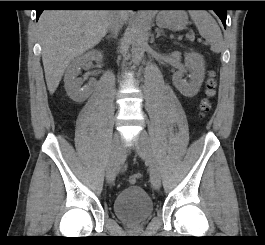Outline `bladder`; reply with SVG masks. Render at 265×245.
I'll use <instances>...</instances> for the list:
<instances>
[{
    "label": "bladder",
    "mask_w": 265,
    "mask_h": 245,
    "mask_svg": "<svg viewBox=\"0 0 265 245\" xmlns=\"http://www.w3.org/2000/svg\"><path fill=\"white\" fill-rule=\"evenodd\" d=\"M113 211L126 224H136L149 218L154 206L149 195L141 187H128L114 199Z\"/></svg>",
    "instance_id": "obj_1"
}]
</instances>
